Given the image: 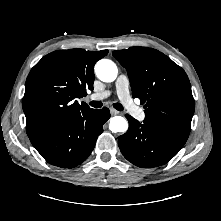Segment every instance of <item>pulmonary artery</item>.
<instances>
[{
    "label": "pulmonary artery",
    "mask_w": 221,
    "mask_h": 221,
    "mask_svg": "<svg viewBox=\"0 0 221 221\" xmlns=\"http://www.w3.org/2000/svg\"><path fill=\"white\" fill-rule=\"evenodd\" d=\"M115 88L119 99L123 102V104L130 110V112L138 119L144 118L143 110L140 109L132 100L129 93V80L128 77L124 74L118 76L115 82ZM110 91L106 90L101 93H95L90 95V99L92 100H101L110 95Z\"/></svg>",
    "instance_id": "e3ab8cb5"
}]
</instances>
